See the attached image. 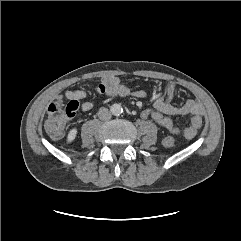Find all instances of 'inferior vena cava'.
I'll use <instances>...</instances> for the list:
<instances>
[{"mask_svg": "<svg viewBox=\"0 0 241 241\" xmlns=\"http://www.w3.org/2000/svg\"><path fill=\"white\" fill-rule=\"evenodd\" d=\"M98 117L100 120L107 121V120L111 119L112 114L108 108H101L98 112Z\"/></svg>", "mask_w": 241, "mask_h": 241, "instance_id": "602c4592", "label": "inferior vena cava"}]
</instances>
